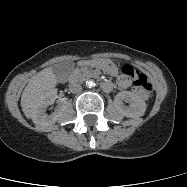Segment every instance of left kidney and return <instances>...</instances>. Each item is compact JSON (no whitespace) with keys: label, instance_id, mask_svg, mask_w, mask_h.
I'll use <instances>...</instances> for the list:
<instances>
[{"label":"left kidney","instance_id":"5707ae66","mask_svg":"<svg viewBox=\"0 0 187 187\" xmlns=\"http://www.w3.org/2000/svg\"><path fill=\"white\" fill-rule=\"evenodd\" d=\"M123 100L130 103L129 107L123 105ZM114 103L119 112L126 117H141L146 111V103L130 91L119 92L115 96Z\"/></svg>","mask_w":187,"mask_h":187}]
</instances>
